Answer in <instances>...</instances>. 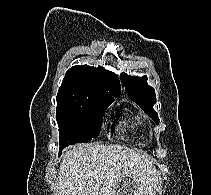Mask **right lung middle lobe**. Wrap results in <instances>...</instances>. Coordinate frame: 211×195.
<instances>
[{
    "label": "right lung middle lobe",
    "instance_id": "obj_1",
    "mask_svg": "<svg viewBox=\"0 0 211 195\" xmlns=\"http://www.w3.org/2000/svg\"><path fill=\"white\" fill-rule=\"evenodd\" d=\"M111 103L57 99L60 153L68 145L89 142L97 137L105 110Z\"/></svg>",
    "mask_w": 211,
    "mask_h": 195
}]
</instances>
